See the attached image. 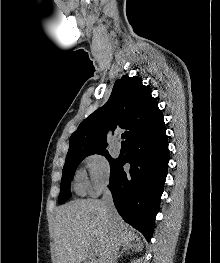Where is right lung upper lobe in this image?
Segmentation results:
<instances>
[{
    "instance_id": "obj_1",
    "label": "right lung upper lobe",
    "mask_w": 220,
    "mask_h": 263,
    "mask_svg": "<svg viewBox=\"0 0 220 263\" xmlns=\"http://www.w3.org/2000/svg\"><path fill=\"white\" fill-rule=\"evenodd\" d=\"M116 128L125 129L126 142L138 135L157 134L165 129L158 103L140 77L124 75L116 81L108 102L88 116L71 135L68 153L105 149L108 129Z\"/></svg>"
}]
</instances>
